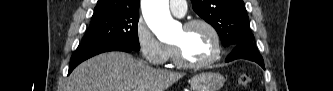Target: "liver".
Listing matches in <instances>:
<instances>
[{
    "label": "liver",
    "instance_id": "obj_1",
    "mask_svg": "<svg viewBox=\"0 0 333 91\" xmlns=\"http://www.w3.org/2000/svg\"><path fill=\"white\" fill-rule=\"evenodd\" d=\"M183 75L152 68L124 52H109L75 68L67 91H165Z\"/></svg>",
    "mask_w": 333,
    "mask_h": 91
}]
</instances>
